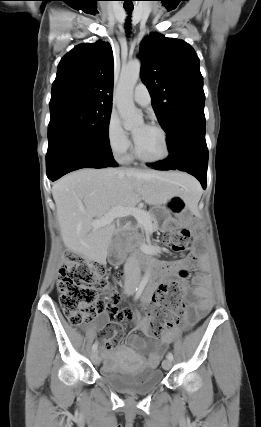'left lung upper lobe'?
Returning <instances> with one entry per match:
<instances>
[{
	"label": "left lung upper lobe",
	"mask_w": 261,
	"mask_h": 427,
	"mask_svg": "<svg viewBox=\"0 0 261 427\" xmlns=\"http://www.w3.org/2000/svg\"><path fill=\"white\" fill-rule=\"evenodd\" d=\"M140 56L142 81L166 132L185 115H204L200 61L188 43L154 33L143 40Z\"/></svg>",
	"instance_id": "5c2ea615"
}]
</instances>
